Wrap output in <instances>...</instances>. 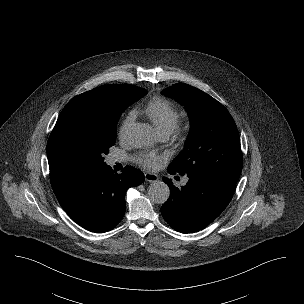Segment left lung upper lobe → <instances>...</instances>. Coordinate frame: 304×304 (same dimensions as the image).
Wrapping results in <instances>:
<instances>
[{
  "label": "left lung upper lobe",
  "mask_w": 304,
  "mask_h": 304,
  "mask_svg": "<svg viewBox=\"0 0 304 304\" xmlns=\"http://www.w3.org/2000/svg\"><path fill=\"white\" fill-rule=\"evenodd\" d=\"M163 94L184 105L191 121L185 148L168 168L188 177L236 184L242 171V152L228 110L205 92L184 83L164 89Z\"/></svg>",
  "instance_id": "obj_1"
}]
</instances>
